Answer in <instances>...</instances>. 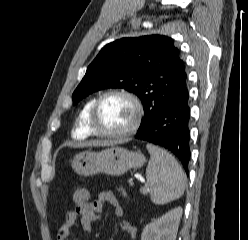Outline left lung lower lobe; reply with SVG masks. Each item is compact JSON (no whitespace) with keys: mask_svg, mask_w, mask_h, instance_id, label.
<instances>
[{"mask_svg":"<svg viewBox=\"0 0 248 240\" xmlns=\"http://www.w3.org/2000/svg\"><path fill=\"white\" fill-rule=\"evenodd\" d=\"M190 107L188 89L165 104L136 139L174 153L188 172L190 161Z\"/></svg>","mask_w":248,"mask_h":240,"instance_id":"obj_1","label":"left lung lower lobe"}]
</instances>
